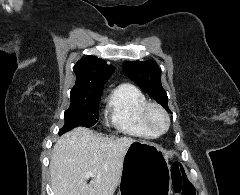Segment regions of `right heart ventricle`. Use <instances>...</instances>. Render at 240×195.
I'll list each match as a JSON object with an SVG mask.
<instances>
[{
  "label": "right heart ventricle",
  "instance_id": "1",
  "mask_svg": "<svg viewBox=\"0 0 240 195\" xmlns=\"http://www.w3.org/2000/svg\"><path fill=\"white\" fill-rule=\"evenodd\" d=\"M147 99L137 87L124 84L117 87L108 99L106 125L118 133L142 139H154L157 134L143 122L142 109Z\"/></svg>",
  "mask_w": 240,
  "mask_h": 195
}]
</instances>
